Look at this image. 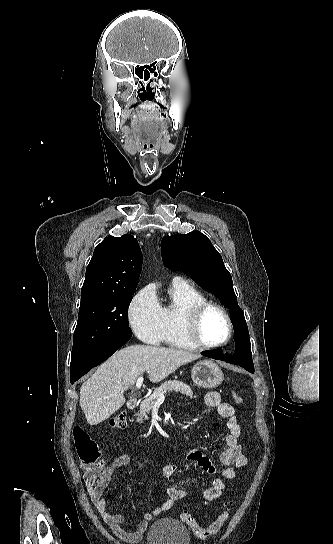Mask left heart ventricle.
<instances>
[{
    "instance_id": "b2bd125f",
    "label": "left heart ventricle",
    "mask_w": 333,
    "mask_h": 544,
    "mask_svg": "<svg viewBox=\"0 0 333 544\" xmlns=\"http://www.w3.org/2000/svg\"><path fill=\"white\" fill-rule=\"evenodd\" d=\"M200 334L202 340L209 344L219 343L227 338V322L219 310L215 308L207 310L201 321Z\"/></svg>"
}]
</instances>
